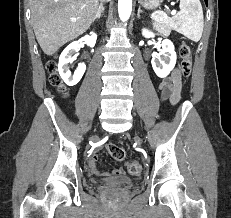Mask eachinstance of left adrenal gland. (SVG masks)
Instances as JSON below:
<instances>
[{"label":"left adrenal gland","instance_id":"a2214340","mask_svg":"<svg viewBox=\"0 0 231 218\" xmlns=\"http://www.w3.org/2000/svg\"><path fill=\"white\" fill-rule=\"evenodd\" d=\"M140 13H142V10H141V8H140V6H139V8H138V12H137V18H139V17H140Z\"/></svg>","mask_w":231,"mask_h":218}]
</instances>
